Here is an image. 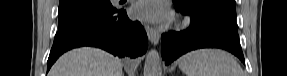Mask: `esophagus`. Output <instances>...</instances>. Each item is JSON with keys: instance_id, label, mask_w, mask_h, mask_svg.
Here are the masks:
<instances>
[{"instance_id": "1", "label": "esophagus", "mask_w": 287, "mask_h": 76, "mask_svg": "<svg viewBox=\"0 0 287 76\" xmlns=\"http://www.w3.org/2000/svg\"><path fill=\"white\" fill-rule=\"evenodd\" d=\"M146 32H147V36L149 38V41L153 45H157L159 43V39H160L159 30L157 28H154V27L147 25L146 26Z\"/></svg>"}]
</instances>
